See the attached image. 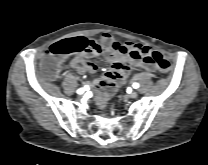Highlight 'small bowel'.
I'll list each match as a JSON object with an SVG mask.
<instances>
[{"label": "small bowel", "mask_w": 208, "mask_h": 165, "mask_svg": "<svg viewBox=\"0 0 208 165\" xmlns=\"http://www.w3.org/2000/svg\"><path fill=\"white\" fill-rule=\"evenodd\" d=\"M87 42L88 47L73 57L69 68L79 74L94 73L97 71L98 65L90 61V58L102 53L105 55L110 63V69L88 85L89 88L97 92V103L100 107H105L114 89L124 82L132 67H142L148 71L155 69L153 64L143 59V50H150L148 46L133 42H120L108 32L102 33L99 41L89 40ZM59 69L66 71L68 64L61 62Z\"/></svg>", "instance_id": "c3829d8e"}]
</instances>
